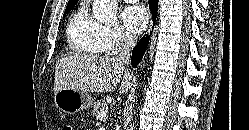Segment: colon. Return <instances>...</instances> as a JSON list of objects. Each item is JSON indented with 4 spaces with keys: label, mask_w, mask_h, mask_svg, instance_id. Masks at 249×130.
Returning a JSON list of instances; mask_svg holds the SVG:
<instances>
[{
    "label": "colon",
    "mask_w": 249,
    "mask_h": 130,
    "mask_svg": "<svg viewBox=\"0 0 249 130\" xmlns=\"http://www.w3.org/2000/svg\"><path fill=\"white\" fill-rule=\"evenodd\" d=\"M61 130H76L71 123H65L62 125Z\"/></svg>",
    "instance_id": "obj_1"
}]
</instances>
